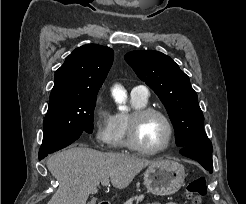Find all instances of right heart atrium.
I'll return each instance as SVG.
<instances>
[{
    "label": "right heart atrium",
    "instance_id": "right-heart-atrium-1",
    "mask_svg": "<svg viewBox=\"0 0 246 204\" xmlns=\"http://www.w3.org/2000/svg\"><path fill=\"white\" fill-rule=\"evenodd\" d=\"M114 115L110 112L101 95L97 96L92 112V134L99 146L108 145L111 138Z\"/></svg>",
    "mask_w": 246,
    "mask_h": 204
}]
</instances>
